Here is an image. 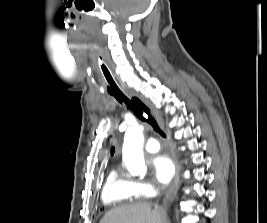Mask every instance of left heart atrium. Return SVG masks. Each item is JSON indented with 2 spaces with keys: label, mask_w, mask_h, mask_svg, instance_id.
I'll return each instance as SVG.
<instances>
[{
  "label": "left heart atrium",
  "mask_w": 267,
  "mask_h": 223,
  "mask_svg": "<svg viewBox=\"0 0 267 223\" xmlns=\"http://www.w3.org/2000/svg\"><path fill=\"white\" fill-rule=\"evenodd\" d=\"M154 178L157 182L167 183L174 175L176 164L172 157L167 154H159L151 162Z\"/></svg>",
  "instance_id": "obj_1"
}]
</instances>
